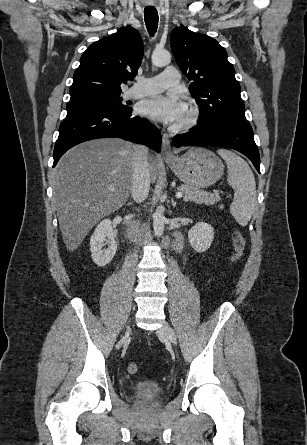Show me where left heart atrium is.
Listing matches in <instances>:
<instances>
[{
  "instance_id": "left-heart-atrium-1",
  "label": "left heart atrium",
  "mask_w": 307,
  "mask_h": 445,
  "mask_svg": "<svg viewBox=\"0 0 307 445\" xmlns=\"http://www.w3.org/2000/svg\"><path fill=\"white\" fill-rule=\"evenodd\" d=\"M140 112L163 122L181 121L187 105L178 93L164 91L143 101Z\"/></svg>"
}]
</instances>
